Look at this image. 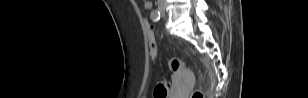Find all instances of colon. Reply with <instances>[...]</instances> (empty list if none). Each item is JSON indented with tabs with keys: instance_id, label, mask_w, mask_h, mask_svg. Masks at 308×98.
Segmentation results:
<instances>
[{
	"instance_id": "obj_1",
	"label": "colon",
	"mask_w": 308,
	"mask_h": 98,
	"mask_svg": "<svg viewBox=\"0 0 308 98\" xmlns=\"http://www.w3.org/2000/svg\"><path fill=\"white\" fill-rule=\"evenodd\" d=\"M141 14L143 16H146L148 14V11L146 9H143L141 11ZM145 31H148V42H149V49H150V54L152 58L156 57L157 54V44L154 36V29L155 26L154 24H145L144 26ZM184 61L180 58H171L169 60V68L173 72H178L184 69ZM169 93V84L166 82H160L154 91V98H166ZM190 98H204V94L202 91L196 90L194 91Z\"/></svg>"
}]
</instances>
